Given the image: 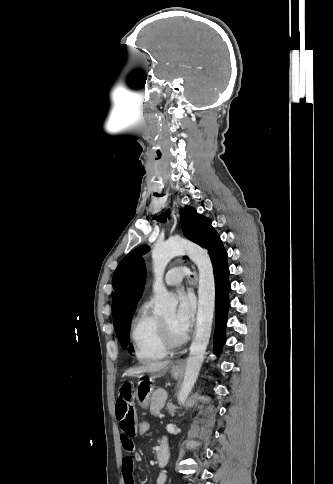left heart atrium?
Returning a JSON list of instances; mask_svg holds the SVG:
<instances>
[{
	"label": "left heart atrium",
	"mask_w": 333,
	"mask_h": 484,
	"mask_svg": "<svg viewBox=\"0 0 333 484\" xmlns=\"http://www.w3.org/2000/svg\"><path fill=\"white\" fill-rule=\"evenodd\" d=\"M178 305L174 314L173 324L178 332L185 334L194 318L195 301L192 295L180 291L177 295Z\"/></svg>",
	"instance_id": "39dd6f15"
}]
</instances>
